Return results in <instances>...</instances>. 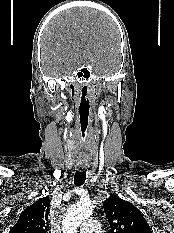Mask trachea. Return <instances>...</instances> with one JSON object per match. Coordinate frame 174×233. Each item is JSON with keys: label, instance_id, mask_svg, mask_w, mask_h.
I'll return each instance as SVG.
<instances>
[{"label": "trachea", "instance_id": "1", "mask_svg": "<svg viewBox=\"0 0 174 233\" xmlns=\"http://www.w3.org/2000/svg\"><path fill=\"white\" fill-rule=\"evenodd\" d=\"M86 180V170L79 171L77 170L74 176V184L76 186H81Z\"/></svg>", "mask_w": 174, "mask_h": 233}]
</instances>
